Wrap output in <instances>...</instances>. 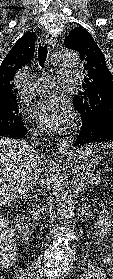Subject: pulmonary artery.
<instances>
[{
	"instance_id": "e3ab8cb5",
	"label": "pulmonary artery",
	"mask_w": 113,
	"mask_h": 279,
	"mask_svg": "<svg viewBox=\"0 0 113 279\" xmlns=\"http://www.w3.org/2000/svg\"><path fill=\"white\" fill-rule=\"evenodd\" d=\"M59 79H61L63 82L69 85L75 84L78 80L77 77L72 72H67L63 75H60ZM53 86H54L53 79L40 78L34 82L32 87L36 92L41 93L52 89Z\"/></svg>"
}]
</instances>
